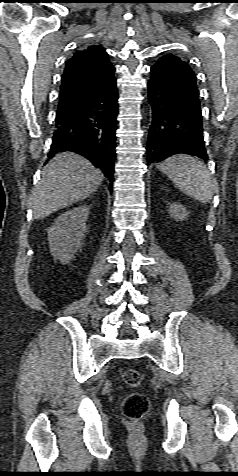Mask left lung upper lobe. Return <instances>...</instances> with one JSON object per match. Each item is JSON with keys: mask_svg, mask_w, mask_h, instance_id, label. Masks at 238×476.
I'll use <instances>...</instances> for the list:
<instances>
[{"mask_svg": "<svg viewBox=\"0 0 238 476\" xmlns=\"http://www.w3.org/2000/svg\"><path fill=\"white\" fill-rule=\"evenodd\" d=\"M152 67L163 71L184 90L198 95L196 75L179 57L172 54L162 56Z\"/></svg>", "mask_w": 238, "mask_h": 476, "instance_id": "5c2ea615", "label": "left lung upper lobe"}]
</instances>
